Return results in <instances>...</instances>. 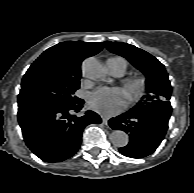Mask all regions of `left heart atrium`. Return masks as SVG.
Instances as JSON below:
<instances>
[{"label": "left heart atrium", "mask_w": 194, "mask_h": 193, "mask_svg": "<svg viewBox=\"0 0 194 193\" xmlns=\"http://www.w3.org/2000/svg\"><path fill=\"white\" fill-rule=\"evenodd\" d=\"M89 106L106 116L117 114L126 106V93L121 88L99 87L91 94Z\"/></svg>", "instance_id": "39dd6f15"}]
</instances>
